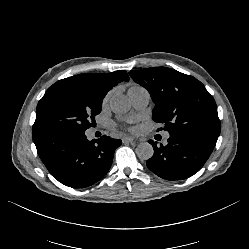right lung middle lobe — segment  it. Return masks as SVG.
<instances>
[{"mask_svg":"<svg viewBox=\"0 0 249 249\" xmlns=\"http://www.w3.org/2000/svg\"><path fill=\"white\" fill-rule=\"evenodd\" d=\"M103 98L83 83L57 81L37 105L33 131H86L95 124V116L101 112Z\"/></svg>","mask_w":249,"mask_h":249,"instance_id":"right-lung-middle-lobe-1","label":"right lung middle lobe"}]
</instances>
